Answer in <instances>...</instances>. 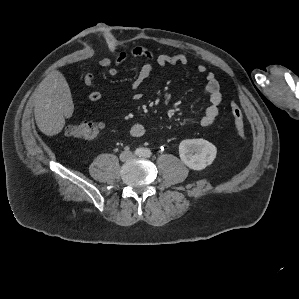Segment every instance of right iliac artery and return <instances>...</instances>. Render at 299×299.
<instances>
[{
    "label": "right iliac artery",
    "instance_id": "1",
    "mask_svg": "<svg viewBox=\"0 0 299 299\" xmlns=\"http://www.w3.org/2000/svg\"><path fill=\"white\" fill-rule=\"evenodd\" d=\"M135 155H137V156H142L143 155V150L142 149H136L135 150Z\"/></svg>",
    "mask_w": 299,
    "mask_h": 299
}]
</instances>
